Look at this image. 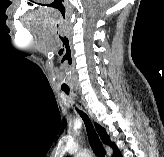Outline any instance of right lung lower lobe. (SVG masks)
<instances>
[{"mask_svg":"<svg viewBox=\"0 0 164 157\" xmlns=\"http://www.w3.org/2000/svg\"><path fill=\"white\" fill-rule=\"evenodd\" d=\"M112 157H122L121 152L117 147L114 149V155Z\"/></svg>","mask_w":164,"mask_h":157,"instance_id":"obj_1","label":"right lung lower lobe"}]
</instances>
